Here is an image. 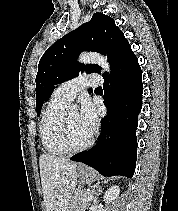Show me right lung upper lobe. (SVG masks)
Returning <instances> with one entry per match:
<instances>
[{
  "instance_id": "obj_1",
  "label": "right lung upper lobe",
  "mask_w": 178,
  "mask_h": 211,
  "mask_svg": "<svg viewBox=\"0 0 178 211\" xmlns=\"http://www.w3.org/2000/svg\"><path fill=\"white\" fill-rule=\"evenodd\" d=\"M53 90V89H52ZM52 90H50L46 96V100L48 99V96L51 94Z\"/></svg>"
}]
</instances>
